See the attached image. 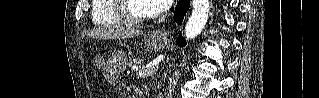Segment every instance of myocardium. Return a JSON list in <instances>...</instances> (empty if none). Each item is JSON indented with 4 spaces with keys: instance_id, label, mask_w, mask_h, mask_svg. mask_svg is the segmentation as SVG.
I'll return each instance as SVG.
<instances>
[{
    "instance_id": "myocardium-1",
    "label": "myocardium",
    "mask_w": 319,
    "mask_h": 98,
    "mask_svg": "<svg viewBox=\"0 0 319 98\" xmlns=\"http://www.w3.org/2000/svg\"><path fill=\"white\" fill-rule=\"evenodd\" d=\"M127 1L126 0H113V8L117 16L122 20V22L127 24L138 25L146 22L151 18L150 14L136 17L130 15L127 11Z\"/></svg>"
}]
</instances>
